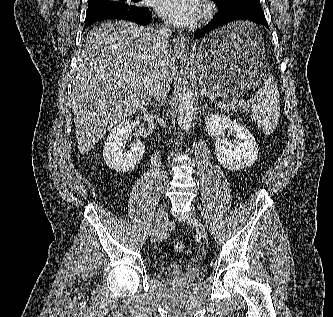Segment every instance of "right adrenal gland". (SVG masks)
Listing matches in <instances>:
<instances>
[{"mask_svg": "<svg viewBox=\"0 0 333 317\" xmlns=\"http://www.w3.org/2000/svg\"><path fill=\"white\" fill-rule=\"evenodd\" d=\"M150 105L153 107V108H158L159 107V105L157 104V103H150Z\"/></svg>", "mask_w": 333, "mask_h": 317, "instance_id": "right-adrenal-gland-1", "label": "right adrenal gland"}]
</instances>
